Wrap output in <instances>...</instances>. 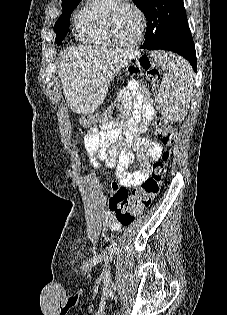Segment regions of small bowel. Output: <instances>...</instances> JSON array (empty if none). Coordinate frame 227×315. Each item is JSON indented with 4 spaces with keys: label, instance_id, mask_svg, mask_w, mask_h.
I'll return each mask as SVG.
<instances>
[{
    "label": "small bowel",
    "instance_id": "c3829d8e",
    "mask_svg": "<svg viewBox=\"0 0 227 315\" xmlns=\"http://www.w3.org/2000/svg\"><path fill=\"white\" fill-rule=\"evenodd\" d=\"M119 97L125 102L133 99V117L125 124L107 125L92 129L84 137V147L93 168L103 162L109 169H114L119 183L125 187L139 186L151 172V166L162 154L161 146L151 139L139 137L147 129L146 122H140L145 112L153 113L145 87L132 80L123 89ZM136 163L138 169H128ZM112 213L105 215V228L118 231L122 228Z\"/></svg>",
    "mask_w": 227,
    "mask_h": 315
}]
</instances>
